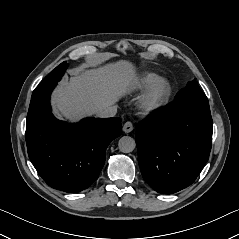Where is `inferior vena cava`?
<instances>
[{
	"mask_svg": "<svg viewBox=\"0 0 239 239\" xmlns=\"http://www.w3.org/2000/svg\"><path fill=\"white\" fill-rule=\"evenodd\" d=\"M116 112H117V107L116 106H109L103 110H100L98 113H97V116L98 117H113L116 115Z\"/></svg>",
	"mask_w": 239,
	"mask_h": 239,
	"instance_id": "inferior-vena-cava-1",
	"label": "inferior vena cava"
}]
</instances>
